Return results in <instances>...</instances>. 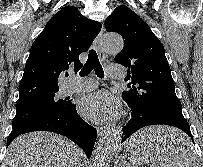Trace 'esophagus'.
I'll use <instances>...</instances> for the list:
<instances>
[{
    "label": "esophagus",
    "mask_w": 203,
    "mask_h": 167,
    "mask_svg": "<svg viewBox=\"0 0 203 167\" xmlns=\"http://www.w3.org/2000/svg\"><path fill=\"white\" fill-rule=\"evenodd\" d=\"M103 31H104V27L102 25L101 31L95 39V46L98 50L99 57L102 61H104L106 59V54H105L103 47H102ZM107 130H108V128L105 126L104 127H98L97 128L98 136H100V137L103 136L104 134H106Z\"/></svg>",
    "instance_id": "1"
}]
</instances>
